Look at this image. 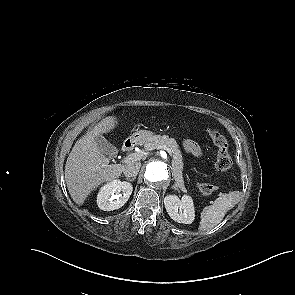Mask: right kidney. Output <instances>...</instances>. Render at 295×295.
Instances as JSON below:
<instances>
[{"label":"right kidney","instance_id":"obj_1","mask_svg":"<svg viewBox=\"0 0 295 295\" xmlns=\"http://www.w3.org/2000/svg\"><path fill=\"white\" fill-rule=\"evenodd\" d=\"M132 191L130 183L113 180L101 187L97 195L98 207L103 211L119 209L128 201Z\"/></svg>","mask_w":295,"mask_h":295}]
</instances>
